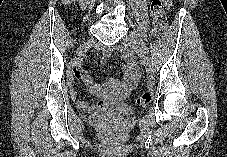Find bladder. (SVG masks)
I'll return each mask as SVG.
<instances>
[{"instance_id": "bladder-1", "label": "bladder", "mask_w": 227, "mask_h": 157, "mask_svg": "<svg viewBox=\"0 0 227 157\" xmlns=\"http://www.w3.org/2000/svg\"><path fill=\"white\" fill-rule=\"evenodd\" d=\"M136 113L133 107L126 104H116L112 106H107L98 112L99 115L109 116V117H129Z\"/></svg>"}]
</instances>
